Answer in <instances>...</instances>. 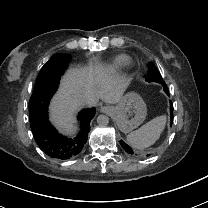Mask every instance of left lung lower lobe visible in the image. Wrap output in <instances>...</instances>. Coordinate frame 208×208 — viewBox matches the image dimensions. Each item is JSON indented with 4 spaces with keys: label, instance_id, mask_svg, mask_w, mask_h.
Here are the masks:
<instances>
[{
    "label": "left lung lower lobe",
    "instance_id": "1",
    "mask_svg": "<svg viewBox=\"0 0 208 208\" xmlns=\"http://www.w3.org/2000/svg\"><path fill=\"white\" fill-rule=\"evenodd\" d=\"M164 91L166 94H168V89H164ZM170 118H171L170 124H172L173 123V104L171 101H170ZM120 144L127 153L134 154L131 147H129L127 144H125L122 140H120ZM147 156H149V155H147Z\"/></svg>",
    "mask_w": 208,
    "mask_h": 208
}]
</instances>
